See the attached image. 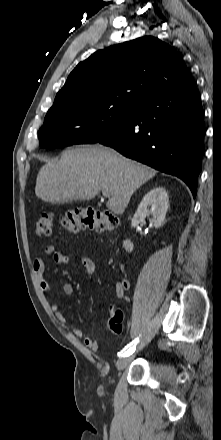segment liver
Segmentation results:
<instances>
[{
    "label": "liver",
    "mask_w": 221,
    "mask_h": 440,
    "mask_svg": "<svg viewBox=\"0 0 221 440\" xmlns=\"http://www.w3.org/2000/svg\"><path fill=\"white\" fill-rule=\"evenodd\" d=\"M157 171L127 159L101 145L70 148L59 161H47L35 186L38 198L50 203L91 200L100 191L109 194L107 208L123 214L134 191Z\"/></svg>",
    "instance_id": "liver-1"
}]
</instances>
